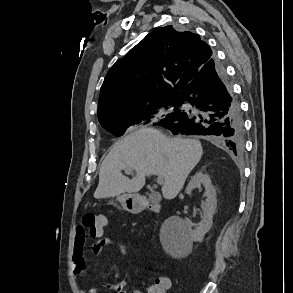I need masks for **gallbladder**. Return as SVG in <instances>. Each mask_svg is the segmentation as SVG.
Listing matches in <instances>:
<instances>
[{
    "label": "gallbladder",
    "mask_w": 293,
    "mask_h": 293,
    "mask_svg": "<svg viewBox=\"0 0 293 293\" xmlns=\"http://www.w3.org/2000/svg\"><path fill=\"white\" fill-rule=\"evenodd\" d=\"M149 200H150V201H154V196H153V195H150V196H149Z\"/></svg>",
    "instance_id": "bac80fb5"
}]
</instances>
